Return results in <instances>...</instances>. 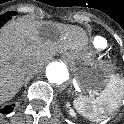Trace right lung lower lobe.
<instances>
[{
    "label": "right lung lower lobe",
    "mask_w": 124,
    "mask_h": 124,
    "mask_svg": "<svg viewBox=\"0 0 124 124\" xmlns=\"http://www.w3.org/2000/svg\"><path fill=\"white\" fill-rule=\"evenodd\" d=\"M11 17L10 16H1L0 17V28L8 21L10 20ZM13 110V106H7L4 109L0 110L1 113L7 114L9 112H11Z\"/></svg>",
    "instance_id": "1"
}]
</instances>
